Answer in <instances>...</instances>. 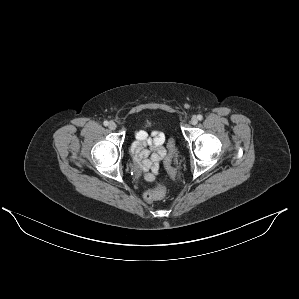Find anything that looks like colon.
Returning <instances> with one entry per match:
<instances>
[{"label": "colon", "instance_id": "obj_1", "mask_svg": "<svg viewBox=\"0 0 299 299\" xmlns=\"http://www.w3.org/2000/svg\"><path fill=\"white\" fill-rule=\"evenodd\" d=\"M171 150L173 149V142L170 143ZM166 194V189L163 185L159 184L155 188L145 192L144 198L147 202L153 203L162 199Z\"/></svg>", "mask_w": 299, "mask_h": 299}]
</instances>
